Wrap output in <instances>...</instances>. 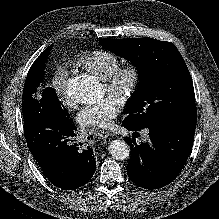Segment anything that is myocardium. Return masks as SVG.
I'll list each match as a JSON object with an SVG mask.
<instances>
[{"instance_id":"myocardium-1","label":"myocardium","mask_w":219,"mask_h":219,"mask_svg":"<svg viewBox=\"0 0 219 219\" xmlns=\"http://www.w3.org/2000/svg\"><path fill=\"white\" fill-rule=\"evenodd\" d=\"M142 80V72L134 63L118 67L103 80L106 91L119 102H129L138 91Z\"/></svg>"}]
</instances>
